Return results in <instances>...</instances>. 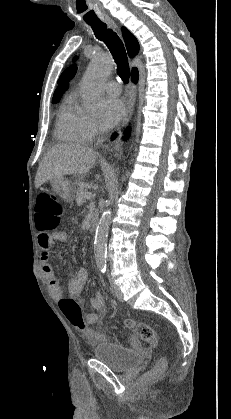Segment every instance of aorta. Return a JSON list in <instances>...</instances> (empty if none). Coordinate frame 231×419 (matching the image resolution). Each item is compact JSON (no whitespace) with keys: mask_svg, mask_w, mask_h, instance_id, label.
<instances>
[{"mask_svg":"<svg viewBox=\"0 0 231 419\" xmlns=\"http://www.w3.org/2000/svg\"><path fill=\"white\" fill-rule=\"evenodd\" d=\"M113 69V60L107 55H96L91 60L84 75L81 95L89 112H98L101 105L102 84ZM111 209L107 208L101 215L96 227L94 241V258L100 267L106 265L107 237L111 220Z\"/></svg>","mask_w":231,"mask_h":419,"instance_id":"1","label":"aorta"}]
</instances>
